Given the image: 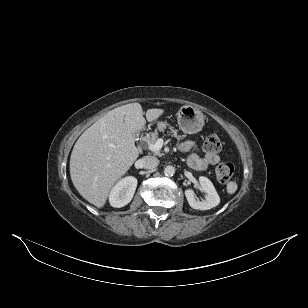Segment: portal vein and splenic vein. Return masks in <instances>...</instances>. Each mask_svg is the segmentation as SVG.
I'll list each match as a JSON object with an SVG mask.
<instances>
[{
    "label": "portal vein and splenic vein",
    "instance_id": "18ae733b",
    "mask_svg": "<svg viewBox=\"0 0 308 308\" xmlns=\"http://www.w3.org/2000/svg\"><path fill=\"white\" fill-rule=\"evenodd\" d=\"M163 143H164L163 139L160 138L154 144H150L148 146V148L151 151H157V150H160L162 148Z\"/></svg>",
    "mask_w": 308,
    "mask_h": 308
}]
</instances>
